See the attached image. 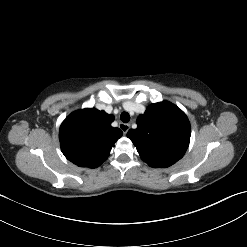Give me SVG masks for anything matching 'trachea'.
<instances>
[{"label":"trachea","instance_id":"3493384b","mask_svg":"<svg viewBox=\"0 0 247 247\" xmlns=\"http://www.w3.org/2000/svg\"><path fill=\"white\" fill-rule=\"evenodd\" d=\"M120 119L124 123H128L130 121V115L127 112H123L120 115Z\"/></svg>","mask_w":247,"mask_h":247}]
</instances>
